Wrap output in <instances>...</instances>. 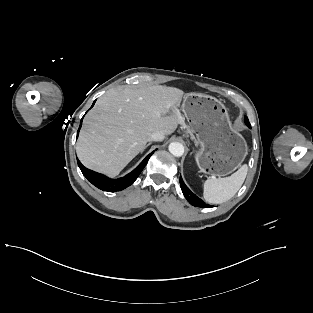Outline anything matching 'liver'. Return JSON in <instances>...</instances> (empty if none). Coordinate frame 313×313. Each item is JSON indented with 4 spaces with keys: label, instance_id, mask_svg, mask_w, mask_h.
<instances>
[{
    "label": "liver",
    "instance_id": "1",
    "mask_svg": "<svg viewBox=\"0 0 313 313\" xmlns=\"http://www.w3.org/2000/svg\"><path fill=\"white\" fill-rule=\"evenodd\" d=\"M184 92L167 86L108 90L86 115L76 145L89 169L116 176L143 150L155 131L172 134L184 122Z\"/></svg>",
    "mask_w": 313,
    "mask_h": 313
}]
</instances>
